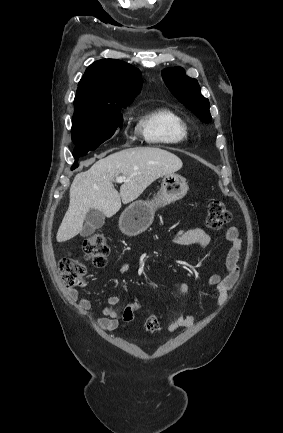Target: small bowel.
Listing matches in <instances>:
<instances>
[{"label": "small bowel", "instance_id": "1", "mask_svg": "<svg viewBox=\"0 0 283 433\" xmlns=\"http://www.w3.org/2000/svg\"><path fill=\"white\" fill-rule=\"evenodd\" d=\"M224 237L228 242L229 248L225 260V272L223 275H213L208 279V283L213 285L216 290L217 306L222 307L228 298L229 290L234 286L239 278L240 267V251L241 241L239 239L238 230L236 227L230 226L224 232ZM172 242L180 246L200 245L207 247L211 243V237L208 233L200 228L179 229L172 235ZM130 266L124 263L120 267L121 273H127ZM182 289L185 293L189 292L188 284H183ZM71 298L77 302L83 310H90L91 302L84 296H79L76 290H72ZM120 302L119 296H111L108 299L107 305L100 308L98 311L99 319L98 326L105 331H112L118 327V313L115 306ZM195 322L194 316L190 313H180L168 325V330L174 332L181 328H190Z\"/></svg>", "mask_w": 283, "mask_h": 433}]
</instances>
